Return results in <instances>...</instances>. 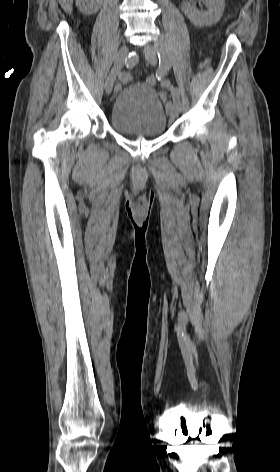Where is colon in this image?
Listing matches in <instances>:
<instances>
[{"label":"colon","mask_w":280,"mask_h":472,"mask_svg":"<svg viewBox=\"0 0 280 472\" xmlns=\"http://www.w3.org/2000/svg\"><path fill=\"white\" fill-rule=\"evenodd\" d=\"M146 81L150 85H155L157 83V77L155 75H149Z\"/></svg>","instance_id":"1"}]
</instances>
